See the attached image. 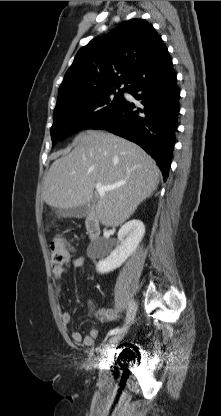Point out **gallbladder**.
<instances>
[{
	"instance_id": "1",
	"label": "gallbladder",
	"mask_w": 221,
	"mask_h": 416,
	"mask_svg": "<svg viewBox=\"0 0 221 416\" xmlns=\"http://www.w3.org/2000/svg\"><path fill=\"white\" fill-rule=\"evenodd\" d=\"M94 201H95V198H93L89 203H86L77 207L59 209L56 211V214L58 217H64V218H67V217L82 218L90 212V209Z\"/></svg>"
}]
</instances>
